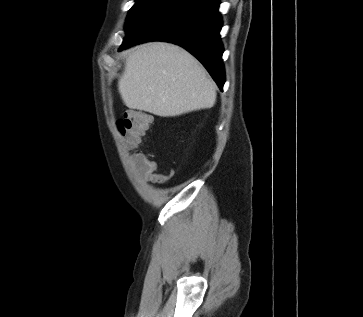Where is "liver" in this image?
Here are the masks:
<instances>
[{"mask_svg":"<svg viewBox=\"0 0 363 317\" xmlns=\"http://www.w3.org/2000/svg\"><path fill=\"white\" fill-rule=\"evenodd\" d=\"M118 90L128 108L162 117L208 109L216 102L215 83L201 64L184 49L163 42L129 51Z\"/></svg>","mask_w":363,"mask_h":317,"instance_id":"liver-1","label":"liver"}]
</instances>
